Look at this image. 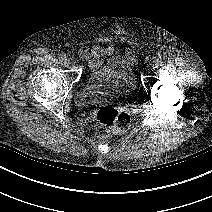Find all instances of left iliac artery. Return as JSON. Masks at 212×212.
<instances>
[{
	"mask_svg": "<svg viewBox=\"0 0 212 212\" xmlns=\"http://www.w3.org/2000/svg\"><path fill=\"white\" fill-rule=\"evenodd\" d=\"M160 65H161L160 62H156V63L154 64V68H159Z\"/></svg>",
	"mask_w": 212,
	"mask_h": 212,
	"instance_id": "1",
	"label": "left iliac artery"
}]
</instances>
